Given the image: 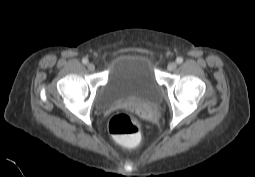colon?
Masks as SVG:
<instances>
[{"mask_svg": "<svg viewBox=\"0 0 255 177\" xmlns=\"http://www.w3.org/2000/svg\"><path fill=\"white\" fill-rule=\"evenodd\" d=\"M109 132L126 146H135L140 140L137 120L128 113H117L109 121Z\"/></svg>", "mask_w": 255, "mask_h": 177, "instance_id": "1", "label": "colon"}]
</instances>
